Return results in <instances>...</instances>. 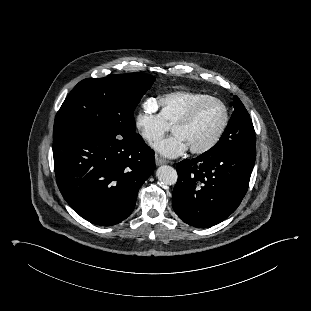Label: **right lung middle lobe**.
<instances>
[{
    "instance_id": "dd1d6c3e",
    "label": "right lung middle lobe",
    "mask_w": 311,
    "mask_h": 311,
    "mask_svg": "<svg viewBox=\"0 0 311 311\" xmlns=\"http://www.w3.org/2000/svg\"><path fill=\"white\" fill-rule=\"evenodd\" d=\"M154 81L153 76L142 73L82 80L56 115L53 139L73 135L135 137L133 111Z\"/></svg>"
}]
</instances>
